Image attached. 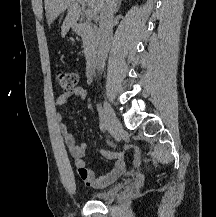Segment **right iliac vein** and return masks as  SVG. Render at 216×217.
Here are the masks:
<instances>
[{
	"label": "right iliac vein",
	"instance_id": "63e3f726",
	"mask_svg": "<svg viewBox=\"0 0 216 217\" xmlns=\"http://www.w3.org/2000/svg\"><path fill=\"white\" fill-rule=\"evenodd\" d=\"M104 113L106 115L108 128L111 134L113 136H117L120 133L122 126L111 105L106 100L104 101Z\"/></svg>",
	"mask_w": 216,
	"mask_h": 217
}]
</instances>
